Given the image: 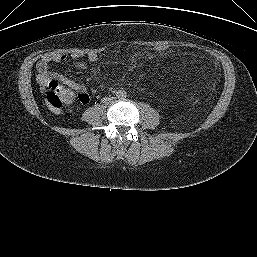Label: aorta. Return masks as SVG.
<instances>
[{
	"label": "aorta",
	"mask_w": 257,
	"mask_h": 257,
	"mask_svg": "<svg viewBox=\"0 0 257 257\" xmlns=\"http://www.w3.org/2000/svg\"><path fill=\"white\" fill-rule=\"evenodd\" d=\"M116 96H117L119 99H124V98H126V96H127V92L124 91V90H118V91L116 92Z\"/></svg>",
	"instance_id": "762f6f07"
}]
</instances>
